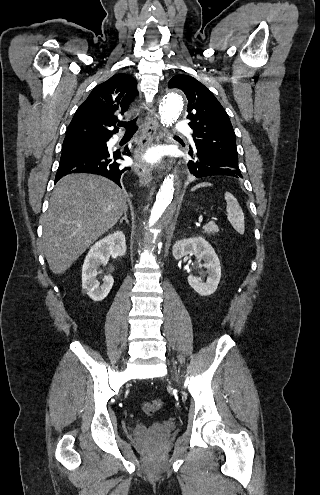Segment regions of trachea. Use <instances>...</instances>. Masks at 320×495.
I'll use <instances>...</instances> for the list:
<instances>
[{
    "label": "trachea",
    "mask_w": 320,
    "mask_h": 495,
    "mask_svg": "<svg viewBox=\"0 0 320 495\" xmlns=\"http://www.w3.org/2000/svg\"><path fill=\"white\" fill-rule=\"evenodd\" d=\"M137 118L130 121V122H126V123H119L118 125L120 127H124L126 129V135H132L134 134L137 129H138V126H137Z\"/></svg>",
    "instance_id": "3493384b"
}]
</instances>
